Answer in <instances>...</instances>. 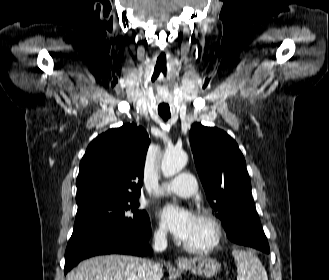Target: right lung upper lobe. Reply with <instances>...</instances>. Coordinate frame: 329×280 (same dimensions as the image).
<instances>
[{"label": "right lung upper lobe", "mask_w": 329, "mask_h": 280, "mask_svg": "<svg viewBox=\"0 0 329 280\" xmlns=\"http://www.w3.org/2000/svg\"><path fill=\"white\" fill-rule=\"evenodd\" d=\"M149 144L144 128L133 123L97 136L80 162L76 198L138 197Z\"/></svg>", "instance_id": "cb5924a9"}]
</instances>
